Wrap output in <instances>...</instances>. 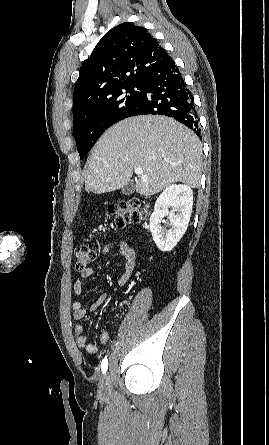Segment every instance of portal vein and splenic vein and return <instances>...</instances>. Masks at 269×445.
Returning <instances> with one entry per match:
<instances>
[{
  "instance_id": "18ae733b",
  "label": "portal vein and splenic vein",
  "mask_w": 269,
  "mask_h": 445,
  "mask_svg": "<svg viewBox=\"0 0 269 445\" xmlns=\"http://www.w3.org/2000/svg\"><path fill=\"white\" fill-rule=\"evenodd\" d=\"M134 171H135V173H136L137 175H142V174H143V170H142L141 167H136V168L134 169Z\"/></svg>"
}]
</instances>
